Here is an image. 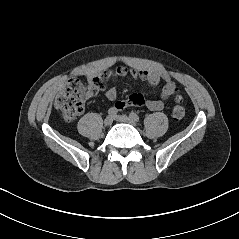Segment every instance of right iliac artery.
Returning a JSON list of instances; mask_svg holds the SVG:
<instances>
[{
	"instance_id": "obj_1",
	"label": "right iliac artery",
	"mask_w": 239,
	"mask_h": 239,
	"mask_svg": "<svg viewBox=\"0 0 239 239\" xmlns=\"http://www.w3.org/2000/svg\"><path fill=\"white\" fill-rule=\"evenodd\" d=\"M117 112H118L117 109L113 107L108 110L109 116H112V117H114L117 114Z\"/></svg>"
}]
</instances>
